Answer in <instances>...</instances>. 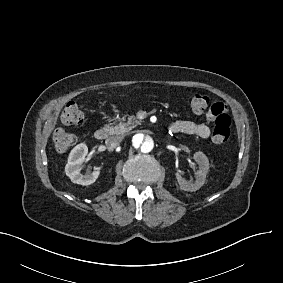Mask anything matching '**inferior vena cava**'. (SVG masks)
<instances>
[{
    "label": "inferior vena cava",
    "instance_id": "obj_1",
    "mask_svg": "<svg viewBox=\"0 0 283 283\" xmlns=\"http://www.w3.org/2000/svg\"><path fill=\"white\" fill-rule=\"evenodd\" d=\"M123 137L120 135L117 136H110L106 139L105 143L109 147H117L120 142L122 141Z\"/></svg>",
    "mask_w": 283,
    "mask_h": 283
}]
</instances>
